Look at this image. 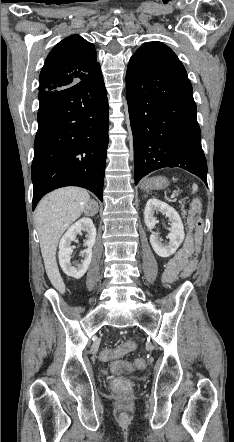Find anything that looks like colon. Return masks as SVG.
<instances>
[{"instance_id":"5ec220e1","label":"colon","mask_w":234,"mask_h":442,"mask_svg":"<svg viewBox=\"0 0 234 442\" xmlns=\"http://www.w3.org/2000/svg\"><path fill=\"white\" fill-rule=\"evenodd\" d=\"M202 210V200L200 198H195L189 206V216H190V225L194 230L193 233V241L196 247H199L201 244L202 238V220L200 218V213ZM200 262L199 256L194 254L192 256V260L188 261L187 266H185L184 271L182 273L183 278H187L191 276L192 273L197 272V266ZM135 349V344L129 341L123 342L122 345L119 346H105L99 348L98 353L99 357L104 362L111 361V369L115 374H123L133 371V369H143L145 366V361L143 357L136 356L133 358L132 363H128L122 360V357L127 353L132 352ZM112 389H117L119 391H126L127 389H132L133 382L132 380H126L124 378H118L116 380H112L111 382Z\"/></svg>"}]
</instances>
